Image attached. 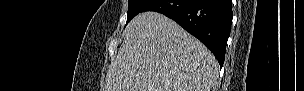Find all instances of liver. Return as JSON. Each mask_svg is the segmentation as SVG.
Segmentation results:
<instances>
[{"label": "liver", "mask_w": 304, "mask_h": 91, "mask_svg": "<svg viewBox=\"0 0 304 91\" xmlns=\"http://www.w3.org/2000/svg\"><path fill=\"white\" fill-rule=\"evenodd\" d=\"M218 74L204 44L163 14L144 12L124 31L105 91H210Z\"/></svg>", "instance_id": "1"}]
</instances>
